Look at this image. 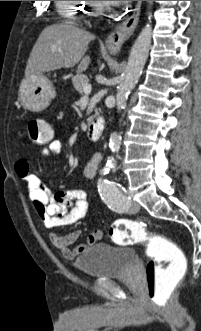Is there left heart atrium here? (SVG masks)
Instances as JSON below:
<instances>
[{
    "instance_id": "obj_1",
    "label": "left heart atrium",
    "mask_w": 201,
    "mask_h": 331,
    "mask_svg": "<svg viewBox=\"0 0 201 331\" xmlns=\"http://www.w3.org/2000/svg\"><path fill=\"white\" fill-rule=\"evenodd\" d=\"M106 4H110V5H122V4H126L130 1H103Z\"/></svg>"
}]
</instances>
